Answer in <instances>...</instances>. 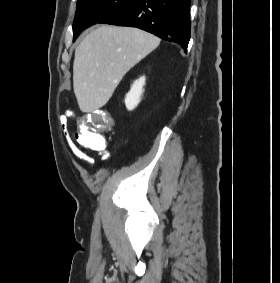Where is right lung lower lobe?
Wrapping results in <instances>:
<instances>
[{
    "label": "right lung lower lobe",
    "mask_w": 280,
    "mask_h": 283,
    "mask_svg": "<svg viewBox=\"0 0 280 283\" xmlns=\"http://www.w3.org/2000/svg\"><path fill=\"white\" fill-rule=\"evenodd\" d=\"M100 23L137 27L178 43L187 52L191 34L190 0H133Z\"/></svg>",
    "instance_id": "right-lung-lower-lobe-1"
}]
</instances>
